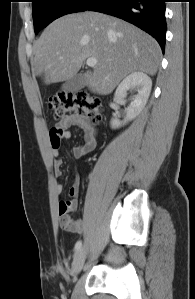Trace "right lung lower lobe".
Listing matches in <instances>:
<instances>
[{
	"label": "right lung lower lobe",
	"mask_w": 195,
	"mask_h": 299,
	"mask_svg": "<svg viewBox=\"0 0 195 299\" xmlns=\"http://www.w3.org/2000/svg\"><path fill=\"white\" fill-rule=\"evenodd\" d=\"M166 0H93L86 10L97 11L128 21L154 37L165 48ZM85 10V11H86Z\"/></svg>",
	"instance_id": "obj_1"
}]
</instances>
